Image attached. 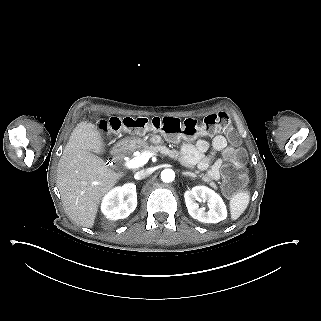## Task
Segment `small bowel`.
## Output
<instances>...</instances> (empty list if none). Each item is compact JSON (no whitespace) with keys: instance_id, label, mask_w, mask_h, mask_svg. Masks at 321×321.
<instances>
[{"instance_id":"obj_1","label":"small bowel","mask_w":321,"mask_h":321,"mask_svg":"<svg viewBox=\"0 0 321 321\" xmlns=\"http://www.w3.org/2000/svg\"><path fill=\"white\" fill-rule=\"evenodd\" d=\"M228 146L227 140L223 136L218 135L212 140V152L210 154H207L210 143L206 140L185 143L182 145L181 152L186 164L196 165L200 170H208L209 177L217 180L220 177L223 160L216 158V153L224 154Z\"/></svg>"}]
</instances>
